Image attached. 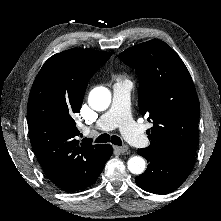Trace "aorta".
I'll return each mask as SVG.
<instances>
[{
	"mask_svg": "<svg viewBox=\"0 0 221 221\" xmlns=\"http://www.w3.org/2000/svg\"><path fill=\"white\" fill-rule=\"evenodd\" d=\"M88 102L92 109L103 111L110 105L111 94L105 87H96L90 92ZM127 167L133 174H142L145 170V160L140 156H133L128 160Z\"/></svg>",
	"mask_w": 221,
	"mask_h": 221,
	"instance_id": "aorta-1",
	"label": "aorta"
}]
</instances>
